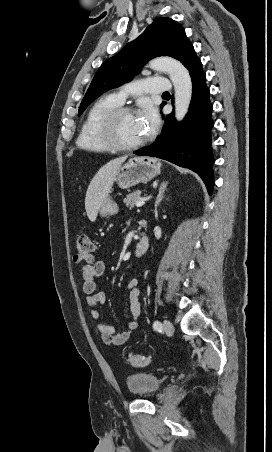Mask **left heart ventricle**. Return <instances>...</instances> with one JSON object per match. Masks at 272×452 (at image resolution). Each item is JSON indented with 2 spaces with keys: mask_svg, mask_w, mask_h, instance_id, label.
<instances>
[{
  "mask_svg": "<svg viewBox=\"0 0 272 452\" xmlns=\"http://www.w3.org/2000/svg\"><path fill=\"white\" fill-rule=\"evenodd\" d=\"M117 136L125 143H134L144 138L141 121L135 114H124L117 122Z\"/></svg>",
  "mask_w": 272,
  "mask_h": 452,
  "instance_id": "b2bd125f",
  "label": "left heart ventricle"
}]
</instances>
